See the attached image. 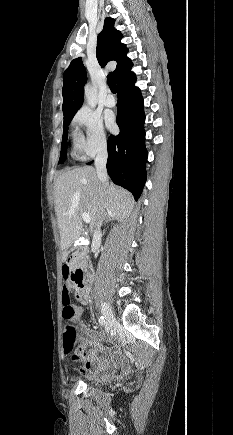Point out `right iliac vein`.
Wrapping results in <instances>:
<instances>
[{"label": "right iliac vein", "instance_id": "1", "mask_svg": "<svg viewBox=\"0 0 233 435\" xmlns=\"http://www.w3.org/2000/svg\"><path fill=\"white\" fill-rule=\"evenodd\" d=\"M101 309H102V314H103L105 321H106V326H105L106 331L110 332L112 327H113V324L116 321L115 316H114L110 306L107 303L103 302L101 305Z\"/></svg>", "mask_w": 233, "mask_h": 435}]
</instances>
